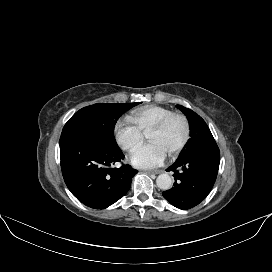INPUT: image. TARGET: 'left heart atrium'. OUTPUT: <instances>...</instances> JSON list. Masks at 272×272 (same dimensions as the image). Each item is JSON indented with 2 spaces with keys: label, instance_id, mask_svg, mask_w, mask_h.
<instances>
[{
  "label": "left heart atrium",
  "instance_id": "obj_1",
  "mask_svg": "<svg viewBox=\"0 0 272 272\" xmlns=\"http://www.w3.org/2000/svg\"><path fill=\"white\" fill-rule=\"evenodd\" d=\"M167 153L157 142L138 148L130 157L131 163L139 168H154L161 165Z\"/></svg>",
  "mask_w": 272,
  "mask_h": 272
}]
</instances>
